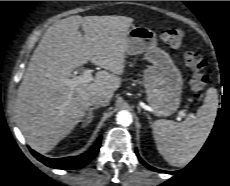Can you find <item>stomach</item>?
<instances>
[{
	"label": "stomach",
	"mask_w": 230,
	"mask_h": 186,
	"mask_svg": "<svg viewBox=\"0 0 230 186\" xmlns=\"http://www.w3.org/2000/svg\"><path fill=\"white\" fill-rule=\"evenodd\" d=\"M126 53H144V59L152 64L144 71L143 84L153 113L157 116L173 114L181 102L183 78L170 55L157 47L155 32L133 26L128 30Z\"/></svg>",
	"instance_id": "obj_1"
}]
</instances>
